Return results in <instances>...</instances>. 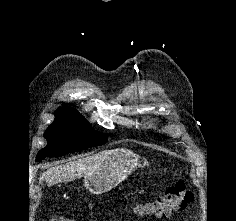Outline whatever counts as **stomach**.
<instances>
[{"label": "stomach", "instance_id": "1", "mask_svg": "<svg viewBox=\"0 0 236 221\" xmlns=\"http://www.w3.org/2000/svg\"><path fill=\"white\" fill-rule=\"evenodd\" d=\"M143 164L139 157L128 150L116 149L91 173L84 176V185L92 194L105 193Z\"/></svg>", "mask_w": 236, "mask_h": 221}]
</instances>
